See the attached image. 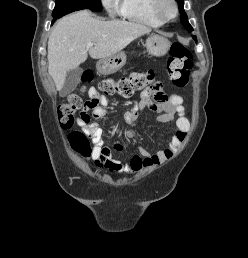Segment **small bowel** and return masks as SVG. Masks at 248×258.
<instances>
[{
    "label": "small bowel",
    "instance_id": "small-bowel-1",
    "mask_svg": "<svg viewBox=\"0 0 248 258\" xmlns=\"http://www.w3.org/2000/svg\"><path fill=\"white\" fill-rule=\"evenodd\" d=\"M88 100H86L79 113L77 125L93 139L95 147L93 158L98 166L106 167L114 172L125 174L138 173L145 168L160 165L173 158L176 152L182 146L189 130V121L185 117V109L182 105V97L173 94L165 97L160 93L156 94V100L151 99V91L144 90L141 93V99L135 103L133 108L126 114V120L134 123L140 117L144 108H149L158 112L157 121L169 124L175 119L176 131L172 136L169 144L157 153H151L144 147H138V154L134 155L129 163H122L113 156L110 149L103 146L102 129L96 123L91 122L94 119L103 118L106 114L108 99L103 96L95 87L88 90ZM115 150H121V145L116 144Z\"/></svg>",
    "mask_w": 248,
    "mask_h": 258
}]
</instances>
